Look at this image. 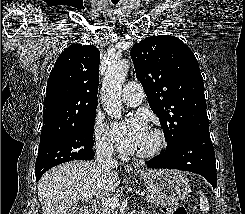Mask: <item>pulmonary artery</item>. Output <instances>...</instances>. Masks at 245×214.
<instances>
[{
	"label": "pulmonary artery",
	"instance_id": "1",
	"mask_svg": "<svg viewBox=\"0 0 245 214\" xmlns=\"http://www.w3.org/2000/svg\"><path fill=\"white\" fill-rule=\"evenodd\" d=\"M121 98L129 106H138L144 99L143 88L135 81L128 82L121 92Z\"/></svg>",
	"mask_w": 245,
	"mask_h": 214
}]
</instances>
